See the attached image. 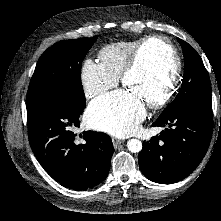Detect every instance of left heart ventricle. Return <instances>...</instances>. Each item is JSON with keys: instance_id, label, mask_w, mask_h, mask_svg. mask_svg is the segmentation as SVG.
<instances>
[{"instance_id": "1", "label": "left heart ventricle", "mask_w": 221, "mask_h": 221, "mask_svg": "<svg viewBox=\"0 0 221 221\" xmlns=\"http://www.w3.org/2000/svg\"><path fill=\"white\" fill-rule=\"evenodd\" d=\"M172 69L173 60L168 47L162 42H152L142 50L125 87L147 104L166 89Z\"/></svg>"}]
</instances>
